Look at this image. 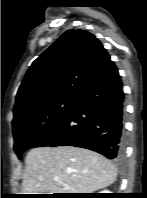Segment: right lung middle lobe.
<instances>
[{"instance_id": "right-lung-middle-lobe-1", "label": "right lung middle lobe", "mask_w": 147, "mask_h": 198, "mask_svg": "<svg viewBox=\"0 0 147 198\" xmlns=\"http://www.w3.org/2000/svg\"><path fill=\"white\" fill-rule=\"evenodd\" d=\"M75 99L55 100L40 105L13 121L14 150L22 153L46 136L71 110Z\"/></svg>"}]
</instances>
